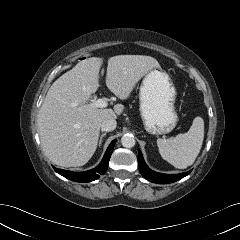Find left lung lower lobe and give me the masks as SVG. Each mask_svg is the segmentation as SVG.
Listing matches in <instances>:
<instances>
[{
	"label": "left lung lower lobe",
	"instance_id": "1",
	"mask_svg": "<svg viewBox=\"0 0 240 240\" xmlns=\"http://www.w3.org/2000/svg\"><path fill=\"white\" fill-rule=\"evenodd\" d=\"M138 166L140 173L145 179L158 184L176 182L182 179L183 177L187 176L191 172L188 171L181 174H162L154 172L151 169H149L148 166L145 164L142 153L140 151L138 153Z\"/></svg>",
	"mask_w": 240,
	"mask_h": 240
}]
</instances>
